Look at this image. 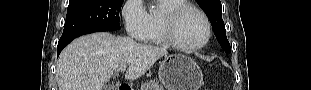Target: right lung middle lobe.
<instances>
[{
	"label": "right lung middle lobe",
	"instance_id": "obj_1",
	"mask_svg": "<svg viewBox=\"0 0 311 90\" xmlns=\"http://www.w3.org/2000/svg\"><path fill=\"white\" fill-rule=\"evenodd\" d=\"M123 0H70L59 43L80 35L120 29Z\"/></svg>",
	"mask_w": 311,
	"mask_h": 90
}]
</instances>
